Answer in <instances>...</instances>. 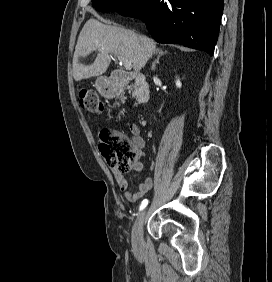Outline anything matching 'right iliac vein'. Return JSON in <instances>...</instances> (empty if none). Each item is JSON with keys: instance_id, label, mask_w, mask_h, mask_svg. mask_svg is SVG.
I'll list each match as a JSON object with an SVG mask.
<instances>
[{"instance_id": "1", "label": "right iliac vein", "mask_w": 272, "mask_h": 282, "mask_svg": "<svg viewBox=\"0 0 272 282\" xmlns=\"http://www.w3.org/2000/svg\"><path fill=\"white\" fill-rule=\"evenodd\" d=\"M147 215V208L144 209L139 216L133 226L132 230V243L134 247L139 246L142 239L143 225Z\"/></svg>"}]
</instances>
